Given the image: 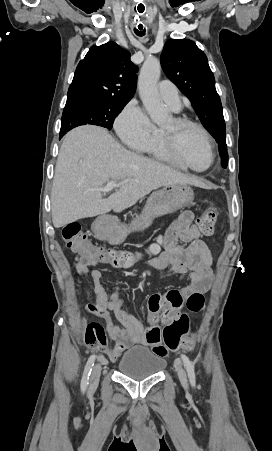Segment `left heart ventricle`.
I'll return each instance as SVG.
<instances>
[{
	"label": "left heart ventricle",
	"mask_w": 272,
	"mask_h": 451,
	"mask_svg": "<svg viewBox=\"0 0 272 451\" xmlns=\"http://www.w3.org/2000/svg\"><path fill=\"white\" fill-rule=\"evenodd\" d=\"M164 128L169 135L176 136L184 164L197 171L205 170L209 166L211 155L201 134L197 130L178 127L172 118L168 120Z\"/></svg>",
	"instance_id": "b2bd125f"
}]
</instances>
